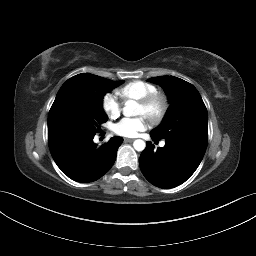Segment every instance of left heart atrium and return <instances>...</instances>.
<instances>
[{
  "label": "left heart atrium",
  "instance_id": "left-heart-atrium-1",
  "mask_svg": "<svg viewBox=\"0 0 256 256\" xmlns=\"http://www.w3.org/2000/svg\"><path fill=\"white\" fill-rule=\"evenodd\" d=\"M148 126L144 116L138 118H125L114 125L115 134L123 137H135L139 132L144 131Z\"/></svg>",
  "mask_w": 256,
  "mask_h": 256
}]
</instances>
